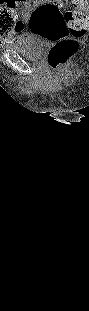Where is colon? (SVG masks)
Here are the masks:
<instances>
[{
  "instance_id": "5ec220e1",
  "label": "colon",
  "mask_w": 89,
  "mask_h": 311,
  "mask_svg": "<svg viewBox=\"0 0 89 311\" xmlns=\"http://www.w3.org/2000/svg\"><path fill=\"white\" fill-rule=\"evenodd\" d=\"M74 9L65 10L62 0H47L38 6L30 18V30L35 35L54 43L48 54V63L59 68L78 50V39L89 27L87 0H72ZM18 25V13L6 8L0 14L4 32H12Z\"/></svg>"
}]
</instances>
